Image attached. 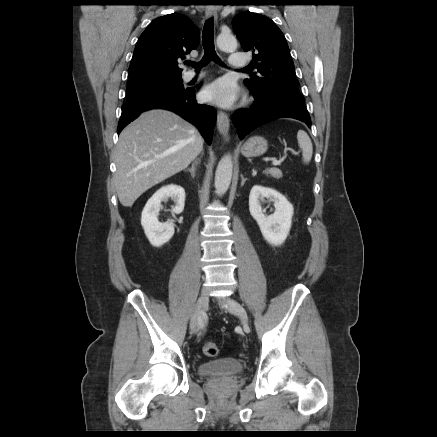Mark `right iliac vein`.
Listing matches in <instances>:
<instances>
[{"label": "right iliac vein", "mask_w": 437, "mask_h": 437, "mask_svg": "<svg viewBox=\"0 0 437 437\" xmlns=\"http://www.w3.org/2000/svg\"><path fill=\"white\" fill-rule=\"evenodd\" d=\"M209 297L207 293H203L200 295L196 302L194 314L190 321V330L191 333L196 334L201 328L202 315L208 307Z\"/></svg>", "instance_id": "right-iliac-vein-1"}]
</instances>
